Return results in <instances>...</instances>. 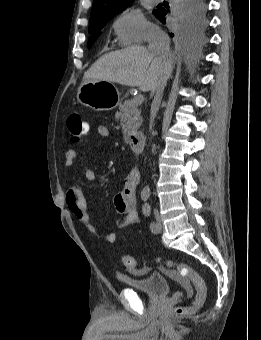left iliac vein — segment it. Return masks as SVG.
Wrapping results in <instances>:
<instances>
[{"instance_id":"obj_1","label":"left iliac vein","mask_w":261,"mask_h":340,"mask_svg":"<svg viewBox=\"0 0 261 340\" xmlns=\"http://www.w3.org/2000/svg\"><path fill=\"white\" fill-rule=\"evenodd\" d=\"M154 215H155L156 224H157V229L154 232L160 233L162 231L163 226H162V221H161V217H160L158 210L154 211Z\"/></svg>"}]
</instances>
